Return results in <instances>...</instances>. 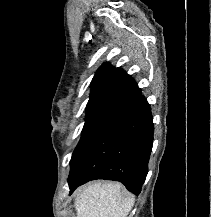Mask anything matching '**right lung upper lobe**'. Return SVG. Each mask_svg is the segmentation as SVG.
I'll use <instances>...</instances> for the list:
<instances>
[{
  "label": "right lung upper lobe",
  "mask_w": 211,
  "mask_h": 217,
  "mask_svg": "<svg viewBox=\"0 0 211 217\" xmlns=\"http://www.w3.org/2000/svg\"><path fill=\"white\" fill-rule=\"evenodd\" d=\"M87 118H117L144 99L135 81L120 68L104 63L91 83Z\"/></svg>",
  "instance_id": "1"
}]
</instances>
